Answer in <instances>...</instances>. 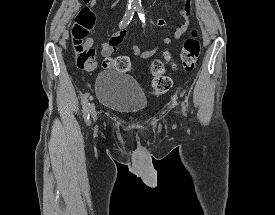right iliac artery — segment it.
<instances>
[{"mask_svg":"<svg viewBox=\"0 0 275 215\" xmlns=\"http://www.w3.org/2000/svg\"><path fill=\"white\" fill-rule=\"evenodd\" d=\"M136 7H128L127 12L125 13L123 19L121 20V22L119 23V28H124L126 27L130 21L133 18L134 12H135ZM88 97H89V93L86 92L83 96V115L85 120L88 122L89 121V103H88Z\"/></svg>","mask_w":275,"mask_h":215,"instance_id":"82829eb1","label":"right iliac artery"}]
</instances>
